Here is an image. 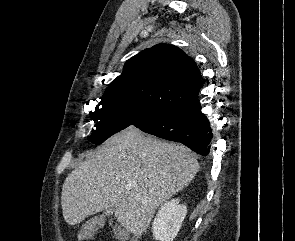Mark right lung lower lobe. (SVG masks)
I'll list each match as a JSON object with an SVG mask.
<instances>
[{"instance_id": "right-lung-lower-lobe-1", "label": "right lung lower lobe", "mask_w": 295, "mask_h": 241, "mask_svg": "<svg viewBox=\"0 0 295 241\" xmlns=\"http://www.w3.org/2000/svg\"><path fill=\"white\" fill-rule=\"evenodd\" d=\"M139 129L166 140L181 142L203 156L210 152L213 134L207 117L201 112L198 98L165 111Z\"/></svg>"}]
</instances>
